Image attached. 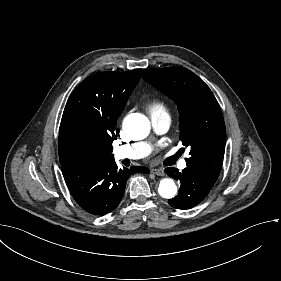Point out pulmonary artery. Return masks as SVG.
<instances>
[{
  "label": "pulmonary artery",
  "mask_w": 281,
  "mask_h": 281,
  "mask_svg": "<svg viewBox=\"0 0 281 281\" xmlns=\"http://www.w3.org/2000/svg\"><path fill=\"white\" fill-rule=\"evenodd\" d=\"M150 123L153 128H155L154 133L160 135L167 127L169 123V118L166 113L162 111H157L152 114L150 118ZM150 152V145L146 142H139L134 144H129L124 147H117L114 150V155L116 159L121 158H138L147 155ZM187 167L186 161L182 160L179 163L180 169H185Z\"/></svg>",
  "instance_id": "obj_1"
}]
</instances>
